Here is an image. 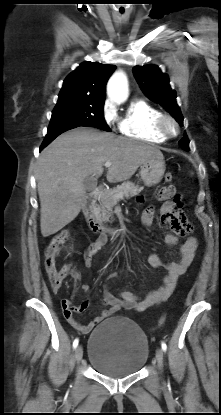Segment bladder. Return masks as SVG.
Instances as JSON below:
<instances>
[{
    "instance_id": "31cf9c89",
    "label": "bladder",
    "mask_w": 221,
    "mask_h": 415,
    "mask_svg": "<svg viewBox=\"0 0 221 415\" xmlns=\"http://www.w3.org/2000/svg\"><path fill=\"white\" fill-rule=\"evenodd\" d=\"M148 356L149 343L145 333L126 317L103 321L89 336L88 361L102 375L122 378L137 373Z\"/></svg>"
}]
</instances>
